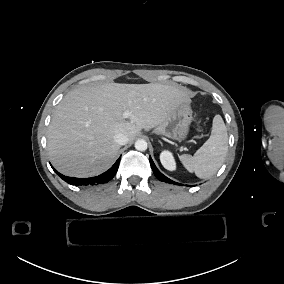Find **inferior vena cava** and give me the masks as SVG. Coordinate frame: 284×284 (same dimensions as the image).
I'll return each mask as SVG.
<instances>
[{"label":"inferior vena cava","mask_w":284,"mask_h":284,"mask_svg":"<svg viewBox=\"0 0 284 284\" xmlns=\"http://www.w3.org/2000/svg\"><path fill=\"white\" fill-rule=\"evenodd\" d=\"M114 141L117 142L119 145H125L128 142V138L123 133H117L114 136Z\"/></svg>","instance_id":"obj_1"}]
</instances>
